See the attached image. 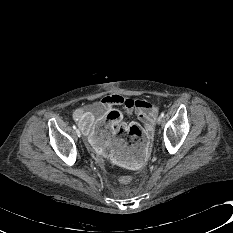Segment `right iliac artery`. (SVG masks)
<instances>
[{
  "label": "right iliac artery",
  "instance_id": "1",
  "mask_svg": "<svg viewBox=\"0 0 233 233\" xmlns=\"http://www.w3.org/2000/svg\"><path fill=\"white\" fill-rule=\"evenodd\" d=\"M73 129H76V126H75V125H73Z\"/></svg>",
  "mask_w": 233,
  "mask_h": 233
}]
</instances>
